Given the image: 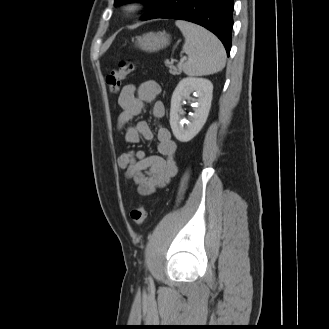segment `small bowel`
I'll use <instances>...</instances> for the list:
<instances>
[{
	"label": "small bowel",
	"instance_id": "obj_1",
	"mask_svg": "<svg viewBox=\"0 0 329 329\" xmlns=\"http://www.w3.org/2000/svg\"><path fill=\"white\" fill-rule=\"evenodd\" d=\"M160 85L155 81L142 82L139 85H125L119 95L118 103L122 112L117 119V130L124 131L129 144L141 140L151 141L153 132L146 121L133 124L144 111L146 105H152L151 114L156 121L166 113L165 105L158 100ZM157 150L159 155H147L144 150H129L118 157V165L124 169L127 178L137 187L139 194L149 195L164 187L177 172V144L171 132L161 124L156 126Z\"/></svg>",
	"mask_w": 329,
	"mask_h": 329
}]
</instances>
